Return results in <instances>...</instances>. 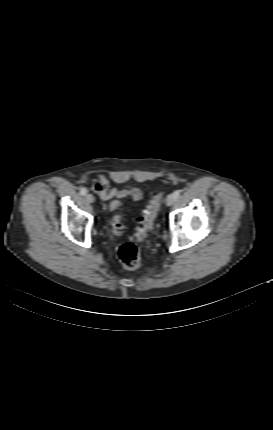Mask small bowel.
Here are the masks:
<instances>
[{
	"instance_id": "c3829d8e",
	"label": "small bowel",
	"mask_w": 273,
	"mask_h": 430,
	"mask_svg": "<svg viewBox=\"0 0 273 430\" xmlns=\"http://www.w3.org/2000/svg\"><path fill=\"white\" fill-rule=\"evenodd\" d=\"M93 190L100 197V199L107 201L110 199H122L130 197L137 201L142 198V191L137 187L132 188H111L108 179L104 175H100L93 181Z\"/></svg>"
}]
</instances>
